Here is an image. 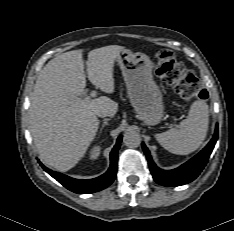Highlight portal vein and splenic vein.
Returning a JSON list of instances; mask_svg holds the SVG:
<instances>
[{"mask_svg":"<svg viewBox=\"0 0 234 231\" xmlns=\"http://www.w3.org/2000/svg\"><path fill=\"white\" fill-rule=\"evenodd\" d=\"M96 95H97V92H96L95 90L91 91L90 97H96ZM83 99L86 100V99H88V98L85 97V98H83ZM77 100L79 101V100H81V98H77Z\"/></svg>","mask_w":234,"mask_h":231,"instance_id":"portal-vein-and-splenic-vein-1","label":"portal vein and splenic vein"}]
</instances>
